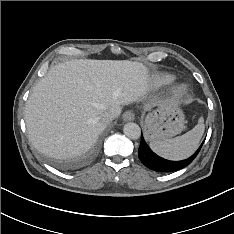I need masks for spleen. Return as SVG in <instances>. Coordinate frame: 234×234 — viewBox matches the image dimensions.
I'll return each mask as SVG.
<instances>
[{
    "label": "spleen",
    "instance_id": "1",
    "mask_svg": "<svg viewBox=\"0 0 234 234\" xmlns=\"http://www.w3.org/2000/svg\"><path fill=\"white\" fill-rule=\"evenodd\" d=\"M204 120L199 118L198 124L187 133L163 141H152L150 146L159 156L169 160H183L190 157L197 149L204 133Z\"/></svg>",
    "mask_w": 234,
    "mask_h": 234
}]
</instances>
